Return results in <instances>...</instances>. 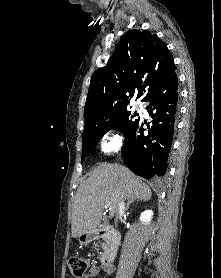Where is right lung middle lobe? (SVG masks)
Masks as SVG:
<instances>
[{"instance_id": "1", "label": "right lung middle lobe", "mask_w": 221, "mask_h": 278, "mask_svg": "<svg viewBox=\"0 0 221 278\" xmlns=\"http://www.w3.org/2000/svg\"><path fill=\"white\" fill-rule=\"evenodd\" d=\"M136 116H138L136 112L132 114L125 107L115 113L86 122L82 134L83 147L81 160H84L85 156L95 148L99 139L110 129L118 130L126 136L140 120V118L136 119Z\"/></svg>"}]
</instances>
